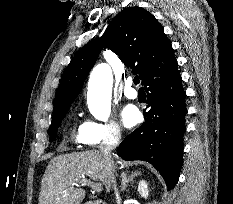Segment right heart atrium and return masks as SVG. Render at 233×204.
Instances as JSON below:
<instances>
[{
	"label": "right heart atrium",
	"mask_w": 233,
	"mask_h": 204,
	"mask_svg": "<svg viewBox=\"0 0 233 204\" xmlns=\"http://www.w3.org/2000/svg\"><path fill=\"white\" fill-rule=\"evenodd\" d=\"M122 137L120 126L113 120L100 122L88 120L82 124L80 143L87 147L118 142Z\"/></svg>",
	"instance_id": "1"
}]
</instances>
